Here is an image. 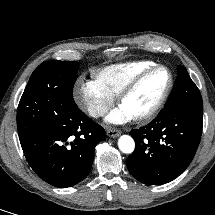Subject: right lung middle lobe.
Returning <instances> with one entry per match:
<instances>
[{
  "instance_id": "1",
  "label": "right lung middle lobe",
  "mask_w": 215,
  "mask_h": 215,
  "mask_svg": "<svg viewBox=\"0 0 215 215\" xmlns=\"http://www.w3.org/2000/svg\"><path fill=\"white\" fill-rule=\"evenodd\" d=\"M78 62L45 61L32 73L17 109L20 141L74 110L72 90Z\"/></svg>"
}]
</instances>
